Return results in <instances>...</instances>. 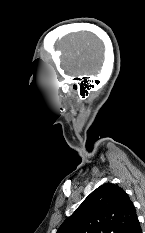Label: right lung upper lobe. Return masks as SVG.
<instances>
[{
  "label": "right lung upper lobe",
  "instance_id": "obj_1",
  "mask_svg": "<svg viewBox=\"0 0 145 233\" xmlns=\"http://www.w3.org/2000/svg\"><path fill=\"white\" fill-rule=\"evenodd\" d=\"M136 220L127 193L115 184L105 183L87 196L57 233H128Z\"/></svg>",
  "mask_w": 145,
  "mask_h": 233
}]
</instances>
